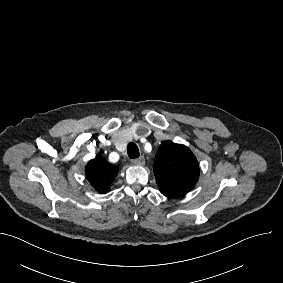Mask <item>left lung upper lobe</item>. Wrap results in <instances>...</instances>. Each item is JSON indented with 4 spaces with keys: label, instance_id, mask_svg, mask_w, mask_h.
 I'll return each instance as SVG.
<instances>
[{
    "label": "left lung upper lobe",
    "instance_id": "obj_1",
    "mask_svg": "<svg viewBox=\"0 0 283 283\" xmlns=\"http://www.w3.org/2000/svg\"><path fill=\"white\" fill-rule=\"evenodd\" d=\"M153 171L160 192L168 198L185 195L199 178L198 161L191 150L171 141L160 145Z\"/></svg>",
    "mask_w": 283,
    "mask_h": 283
}]
</instances>
